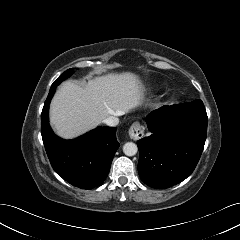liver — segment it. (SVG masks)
I'll return each instance as SVG.
<instances>
[{
	"instance_id": "obj_1",
	"label": "liver",
	"mask_w": 240,
	"mask_h": 240,
	"mask_svg": "<svg viewBox=\"0 0 240 240\" xmlns=\"http://www.w3.org/2000/svg\"><path fill=\"white\" fill-rule=\"evenodd\" d=\"M143 86L130 72L108 74L85 85L64 82L50 106V123L65 139L77 137L99 125L109 116H121L139 107Z\"/></svg>"
}]
</instances>
